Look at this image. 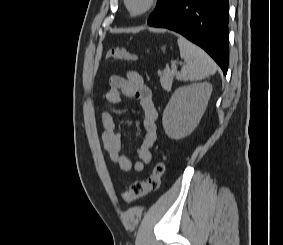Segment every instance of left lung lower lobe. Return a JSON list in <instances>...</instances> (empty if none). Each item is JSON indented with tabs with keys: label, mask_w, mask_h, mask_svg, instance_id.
Listing matches in <instances>:
<instances>
[{
	"label": "left lung lower lobe",
	"mask_w": 283,
	"mask_h": 245,
	"mask_svg": "<svg viewBox=\"0 0 283 245\" xmlns=\"http://www.w3.org/2000/svg\"><path fill=\"white\" fill-rule=\"evenodd\" d=\"M229 0H173L157 17L148 21L180 33L203 48L221 67L228 69Z\"/></svg>",
	"instance_id": "left-lung-lower-lobe-1"
}]
</instances>
